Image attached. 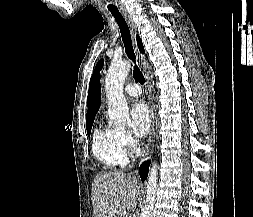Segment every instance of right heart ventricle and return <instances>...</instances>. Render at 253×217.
<instances>
[{
  "instance_id": "obj_1",
  "label": "right heart ventricle",
  "mask_w": 253,
  "mask_h": 217,
  "mask_svg": "<svg viewBox=\"0 0 253 217\" xmlns=\"http://www.w3.org/2000/svg\"><path fill=\"white\" fill-rule=\"evenodd\" d=\"M92 152L104 168H123L128 164L127 153L117 138V130L110 127L99 125L95 128L92 137Z\"/></svg>"
}]
</instances>
